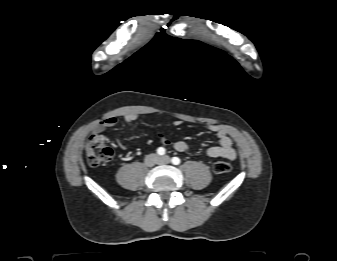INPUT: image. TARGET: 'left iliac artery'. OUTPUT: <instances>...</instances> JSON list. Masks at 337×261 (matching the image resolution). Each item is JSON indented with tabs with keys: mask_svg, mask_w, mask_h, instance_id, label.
<instances>
[{
	"mask_svg": "<svg viewBox=\"0 0 337 261\" xmlns=\"http://www.w3.org/2000/svg\"><path fill=\"white\" fill-rule=\"evenodd\" d=\"M171 161L174 165L180 164V159L178 157H173Z\"/></svg>",
	"mask_w": 337,
	"mask_h": 261,
	"instance_id": "left-iliac-artery-1",
	"label": "left iliac artery"
}]
</instances>
